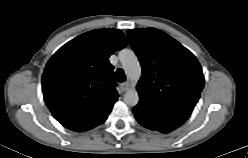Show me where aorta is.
Masks as SVG:
<instances>
[{"label":"aorta","instance_id":"1","mask_svg":"<svg viewBox=\"0 0 248 158\" xmlns=\"http://www.w3.org/2000/svg\"><path fill=\"white\" fill-rule=\"evenodd\" d=\"M123 70L127 77L137 82L141 77V65L137 56L132 50L123 49L119 53ZM124 102L129 106H136L139 102V95L135 87L130 88L124 95Z\"/></svg>","mask_w":248,"mask_h":158}]
</instances>
